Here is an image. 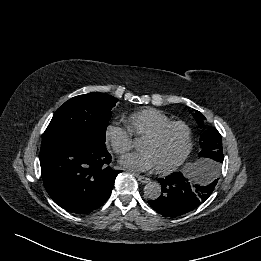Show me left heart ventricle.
Masks as SVG:
<instances>
[{"instance_id": "obj_1", "label": "left heart ventricle", "mask_w": 261, "mask_h": 261, "mask_svg": "<svg viewBox=\"0 0 261 261\" xmlns=\"http://www.w3.org/2000/svg\"><path fill=\"white\" fill-rule=\"evenodd\" d=\"M186 147V132L182 127L169 129L159 140L143 139L140 143L141 150L151 154L156 168L166 167L175 162Z\"/></svg>"}]
</instances>
